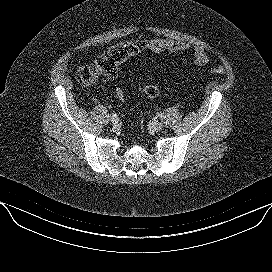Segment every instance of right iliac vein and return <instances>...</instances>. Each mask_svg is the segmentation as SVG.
<instances>
[{
    "label": "right iliac vein",
    "instance_id": "63e3f726",
    "mask_svg": "<svg viewBox=\"0 0 272 272\" xmlns=\"http://www.w3.org/2000/svg\"><path fill=\"white\" fill-rule=\"evenodd\" d=\"M110 121H111L113 124H116V123H118V118H117V117H115V118L111 117V118H110Z\"/></svg>",
    "mask_w": 272,
    "mask_h": 272
}]
</instances>
